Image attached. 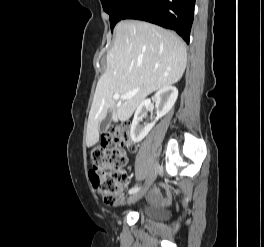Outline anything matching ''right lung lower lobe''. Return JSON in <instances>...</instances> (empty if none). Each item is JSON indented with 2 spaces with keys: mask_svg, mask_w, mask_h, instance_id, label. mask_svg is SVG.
Segmentation results:
<instances>
[{
  "mask_svg": "<svg viewBox=\"0 0 264 247\" xmlns=\"http://www.w3.org/2000/svg\"><path fill=\"white\" fill-rule=\"evenodd\" d=\"M195 0H133L122 20L137 19L176 31L189 43Z\"/></svg>",
  "mask_w": 264,
  "mask_h": 247,
  "instance_id": "98d812e1",
  "label": "right lung lower lobe"
}]
</instances>
